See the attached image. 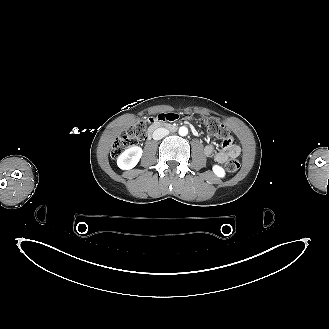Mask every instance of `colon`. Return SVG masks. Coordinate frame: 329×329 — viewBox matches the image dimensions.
<instances>
[{
    "instance_id": "1",
    "label": "colon",
    "mask_w": 329,
    "mask_h": 329,
    "mask_svg": "<svg viewBox=\"0 0 329 329\" xmlns=\"http://www.w3.org/2000/svg\"><path fill=\"white\" fill-rule=\"evenodd\" d=\"M152 120H153L152 118H149L146 120L138 121L132 126H130L128 129H126L124 132H122L116 138L115 143L112 147V157L114 158L118 157L124 149L134 145L136 141L139 140L144 135L147 128L152 123ZM204 124L206 126L207 131L211 135L223 141L224 146H228L232 143L233 136L230 133L229 129L224 124L214 119H206L204 120ZM239 167H240V162L235 157L230 158L225 164V168L229 172H235L239 169Z\"/></svg>"
}]
</instances>
